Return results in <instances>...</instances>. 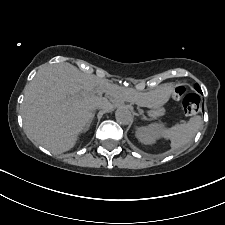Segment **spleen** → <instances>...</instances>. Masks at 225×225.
Listing matches in <instances>:
<instances>
[{
  "label": "spleen",
  "instance_id": "obj_1",
  "mask_svg": "<svg viewBox=\"0 0 225 225\" xmlns=\"http://www.w3.org/2000/svg\"><path fill=\"white\" fill-rule=\"evenodd\" d=\"M201 118L194 116L187 123L177 124L169 129H161L160 135L171 141V150L179 149L188 144L197 133Z\"/></svg>",
  "mask_w": 225,
  "mask_h": 225
}]
</instances>
